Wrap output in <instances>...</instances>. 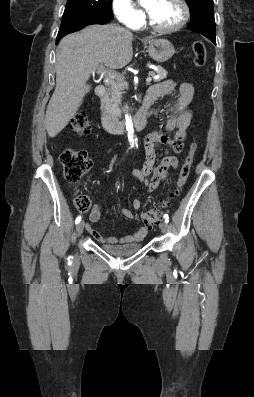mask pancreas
Segmentation results:
<instances>
[{
	"instance_id": "obj_1",
	"label": "pancreas",
	"mask_w": 254,
	"mask_h": 397,
	"mask_svg": "<svg viewBox=\"0 0 254 397\" xmlns=\"http://www.w3.org/2000/svg\"><path fill=\"white\" fill-rule=\"evenodd\" d=\"M156 73L158 75V78L155 79L156 82L167 77V71L161 66H156ZM149 75L154 77L155 72H149ZM125 87H127V83L124 78H120L116 82H112L109 86L106 96L102 100L106 112L112 117H118L120 115L119 104L121 102L122 90Z\"/></svg>"
}]
</instances>
